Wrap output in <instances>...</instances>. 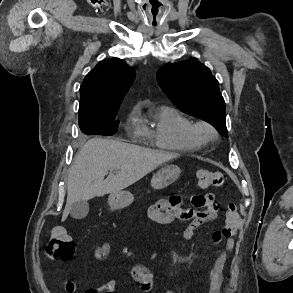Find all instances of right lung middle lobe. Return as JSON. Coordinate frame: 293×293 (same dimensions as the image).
<instances>
[{"label": "right lung middle lobe", "instance_id": "right-lung-middle-lobe-1", "mask_svg": "<svg viewBox=\"0 0 293 293\" xmlns=\"http://www.w3.org/2000/svg\"><path fill=\"white\" fill-rule=\"evenodd\" d=\"M117 112L111 114H79V126L84 134L112 135L117 129L119 122L115 121Z\"/></svg>", "mask_w": 293, "mask_h": 293}]
</instances>
